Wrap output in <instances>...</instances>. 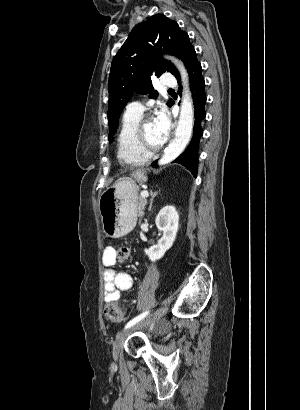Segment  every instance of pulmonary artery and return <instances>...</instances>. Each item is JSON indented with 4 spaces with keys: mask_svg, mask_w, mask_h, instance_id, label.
Segmentation results:
<instances>
[{
    "mask_svg": "<svg viewBox=\"0 0 300 410\" xmlns=\"http://www.w3.org/2000/svg\"><path fill=\"white\" fill-rule=\"evenodd\" d=\"M177 84L175 77L171 74H164L162 76V85L164 87H175ZM144 110L143 105L138 101H133L128 104L127 111L142 114Z\"/></svg>",
    "mask_w": 300,
    "mask_h": 410,
    "instance_id": "e3ab8cb5",
    "label": "pulmonary artery"
}]
</instances>
